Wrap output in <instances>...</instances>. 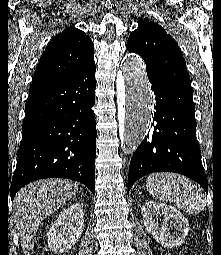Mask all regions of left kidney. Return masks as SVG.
I'll use <instances>...</instances> for the list:
<instances>
[{
	"mask_svg": "<svg viewBox=\"0 0 221 255\" xmlns=\"http://www.w3.org/2000/svg\"><path fill=\"white\" fill-rule=\"evenodd\" d=\"M144 226L153 238L166 248L180 246L189 230L188 220L172 206L161 202L148 201L141 207ZM163 216L160 226L158 219Z\"/></svg>",
	"mask_w": 221,
	"mask_h": 255,
	"instance_id": "1",
	"label": "left kidney"
}]
</instances>
